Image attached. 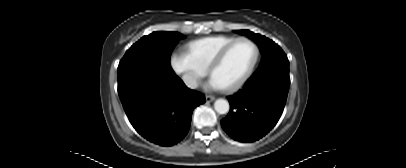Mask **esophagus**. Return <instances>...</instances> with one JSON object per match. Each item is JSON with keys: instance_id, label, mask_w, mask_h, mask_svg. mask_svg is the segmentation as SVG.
Returning <instances> with one entry per match:
<instances>
[{"instance_id": "esophagus-1", "label": "esophagus", "mask_w": 406, "mask_h": 168, "mask_svg": "<svg viewBox=\"0 0 406 168\" xmlns=\"http://www.w3.org/2000/svg\"><path fill=\"white\" fill-rule=\"evenodd\" d=\"M205 99H206L207 102H211V101L215 100V97L211 96V95H206Z\"/></svg>"}]
</instances>
